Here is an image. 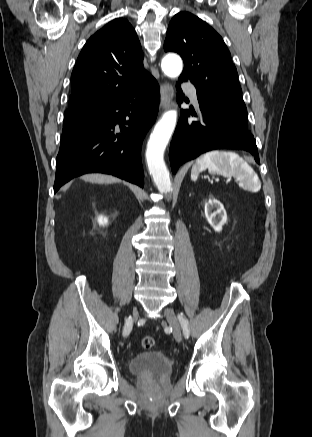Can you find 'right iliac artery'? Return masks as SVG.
Segmentation results:
<instances>
[{"instance_id": "1", "label": "right iliac artery", "mask_w": 312, "mask_h": 437, "mask_svg": "<svg viewBox=\"0 0 312 437\" xmlns=\"http://www.w3.org/2000/svg\"><path fill=\"white\" fill-rule=\"evenodd\" d=\"M131 328H132V318L129 317L126 319V323H125L124 330H123V335L127 336L130 333Z\"/></svg>"}]
</instances>
